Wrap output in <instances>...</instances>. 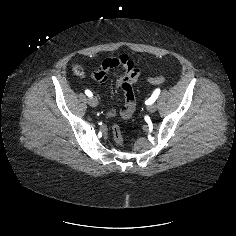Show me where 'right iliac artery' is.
I'll use <instances>...</instances> for the list:
<instances>
[{
    "instance_id": "1",
    "label": "right iliac artery",
    "mask_w": 236,
    "mask_h": 236,
    "mask_svg": "<svg viewBox=\"0 0 236 236\" xmlns=\"http://www.w3.org/2000/svg\"><path fill=\"white\" fill-rule=\"evenodd\" d=\"M85 94L88 96V97H92L93 94L90 90H85Z\"/></svg>"
}]
</instances>
